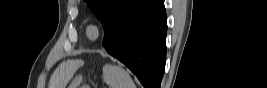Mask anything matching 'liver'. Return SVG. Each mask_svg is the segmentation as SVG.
Wrapping results in <instances>:
<instances>
[{
  "label": "liver",
  "mask_w": 267,
  "mask_h": 88,
  "mask_svg": "<svg viewBox=\"0 0 267 88\" xmlns=\"http://www.w3.org/2000/svg\"><path fill=\"white\" fill-rule=\"evenodd\" d=\"M79 60H68L61 63L51 75L49 88H65L80 65Z\"/></svg>",
  "instance_id": "6515ba94"
}]
</instances>
